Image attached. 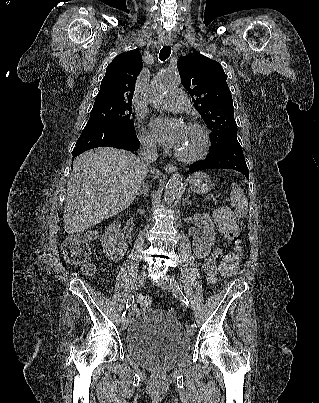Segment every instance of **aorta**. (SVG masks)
Segmentation results:
<instances>
[{
  "label": "aorta",
  "instance_id": "obj_1",
  "mask_svg": "<svg viewBox=\"0 0 319 403\" xmlns=\"http://www.w3.org/2000/svg\"><path fill=\"white\" fill-rule=\"evenodd\" d=\"M178 84L179 78L176 74L163 70L153 79L151 92L154 95L162 94ZM182 187V176L178 173L174 174L166 184L164 201L166 203L173 202L180 195Z\"/></svg>",
  "mask_w": 319,
  "mask_h": 403
}]
</instances>
